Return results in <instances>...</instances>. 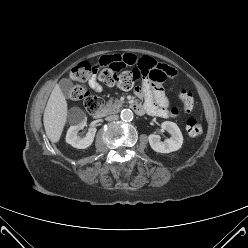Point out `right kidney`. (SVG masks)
<instances>
[{"mask_svg":"<svg viewBox=\"0 0 248 248\" xmlns=\"http://www.w3.org/2000/svg\"><path fill=\"white\" fill-rule=\"evenodd\" d=\"M87 117L78 108H73L70 113V123L71 127L67 131L66 142L71 146L78 149H85L89 147L94 140L97 129L91 128L86 133L85 137L80 138L77 133L79 130L83 129L86 125Z\"/></svg>","mask_w":248,"mask_h":248,"instance_id":"1","label":"right kidney"}]
</instances>
